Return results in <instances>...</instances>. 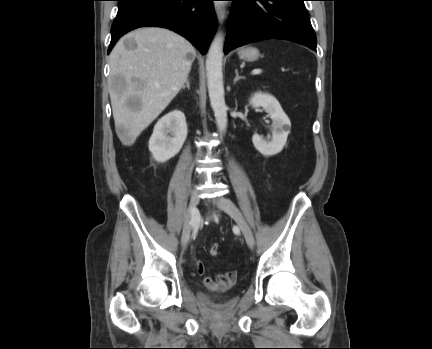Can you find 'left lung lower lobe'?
<instances>
[{
    "label": "left lung lower lobe",
    "mask_w": 432,
    "mask_h": 349,
    "mask_svg": "<svg viewBox=\"0 0 432 349\" xmlns=\"http://www.w3.org/2000/svg\"><path fill=\"white\" fill-rule=\"evenodd\" d=\"M224 52L264 40L284 39L316 49L305 0H232Z\"/></svg>",
    "instance_id": "1"
}]
</instances>
